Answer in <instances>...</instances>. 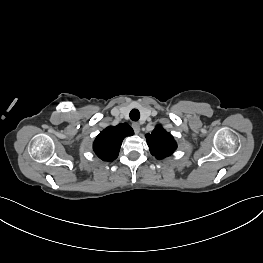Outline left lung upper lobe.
<instances>
[{"label": "left lung upper lobe", "mask_w": 263, "mask_h": 263, "mask_svg": "<svg viewBox=\"0 0 263 263\" xmlns=\"http://www.w3.org/2000/svg\"><path fill=\"white\" fill-rule=\"evenodd\" d=\"M150 152L155 158L163 159L170 156L177 148L173 136L157 125L151 134L146 135Z\"/></svg>", "instance_id": "1"}]
</instances>
